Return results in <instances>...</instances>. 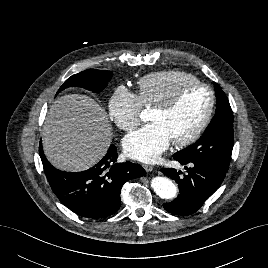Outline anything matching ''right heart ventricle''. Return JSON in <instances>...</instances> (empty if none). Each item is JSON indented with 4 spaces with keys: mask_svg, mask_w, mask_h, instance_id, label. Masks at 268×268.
I'll use <instances>...</instances> for the list:
<instances>
[{
    "mask_svg": "<svg viewBox=\"0 0 268 268\" xmlns=\"http://www.w3.org/2000/svg\"><path fill=\"white\" fill-rule=\"evenodd\" d=\"M193 81L198 79L188 72L166 69L143 76L137 88L142 104L155 107L168 100L179 86Z\"/></svg>",
    "mask_w": 268,
    "mask_h": 268,
    "instance_id": "right-heart-ventricle-1",
    "label": "right heart ventricle"
}]
</instances>
